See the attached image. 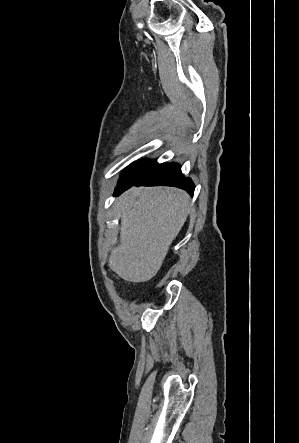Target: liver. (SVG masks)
<instances>
[{
	"label": "liver",
	"mask_w": 299,
	"mask_h": 443,
	"mask_svg": "<svg viewBox=\"0 0 299 443\" xmlns=\"http://www.w3.org/2000/svg\"><path fill=\"white\" fill-rule=\"evenodd\" d=\"M125 197L129 204L119 212L120 244L112 250L108 265L126 281L146 282L157 274L183 227L190 197L169 187L134 188Z\"/></svg>",
	"instance_id": "6515ba94"
}]
</instances>
